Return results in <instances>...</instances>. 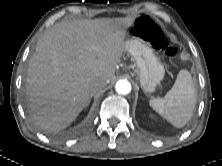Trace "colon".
<instances>
[{
    "instance_id": "1",
    "label": "colon",
    "mask_w": 222,
    "mask_h": 166,
    "mask_svg": "<svg viewBox=\"0 0 222 166\" xmlns=\"http://www.w3.org/2000/svg\"><path fill=\"white\" fill-rule=\"evenodd\" d=\"M131 34L153 48L162 51L168 57H176L178 49L172 45L162 27L149 15L143 14L136 19Z\"/></svg>"
}]
</instances>
